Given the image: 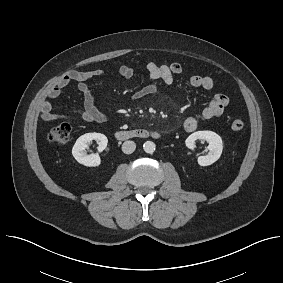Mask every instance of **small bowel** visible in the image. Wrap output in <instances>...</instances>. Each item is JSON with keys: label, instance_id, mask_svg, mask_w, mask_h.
I'll list each match as a JSON object with an SVG mask.
<instances>
[{"label": "small bowel", "instance_id": "1", "mask_svg": "<svg viewBox=\"0 0 283 283\" xmlns=\"http://www.w3.org/2000/svg\"><path fill=\"white\" fill-rule=\"evenodd\" d=\"M149 77L152 83L142 87L131 97L132 101H137L145 96L154 94L158 90V82L163 86H171L175 75L183 72V67L178 62L171 64L159 65L150 62L146 66ZM105 72L100 69L88 71H71L65 74L59 82L49 91L50 99H57L64 88L72 83H77L78 89L83 97V105L81 108L71 109L68 114L59 113L55 105L51 101H45L42 105L41 113L45 121L52 122L58 120H76L81 119L88 122H105L108 118L107 114L100 111L90 90L88 82L98 76L103 75ZM117 74L125 79H130L135 75V69L128 65H122L117 70ZM188 82L194 88H202L211 90L214 87V81L211 77L205 75H192L189 77ZM229 98L226 94L217 93L211 99L209 104L202 110L201 118L203 120H210L220 117L227 105ZM199 119L194 116L187 117L183 123V127L187 132H193L198 128Z\"/></svg>", "mask_w": 283, "mask_h": 283}]
</instances>
